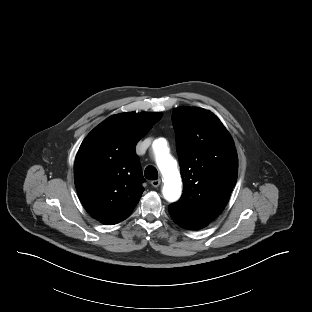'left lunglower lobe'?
Segmentation results:
<instances>
[{
	"label": "left lung lower lobe",
	"instance_id": "left-lung-lower-lobe-1",
	"mask_svg": "<svg viewBox=\"0 0 312 312\" xmlns=\"http://www.w3.org/2000/svg\"><path fill=\"white\" fill-rule=\"evenodd\" d=\"M169 214L176 224H178L179 226L186 228V229L196 230V229L204 228L205 226L208 225L205 222L197 221L195 219L187 217V216L177 212L176 210H174L171 207H169Z\"/></svg>",
	"mask_w": 312,
	"mask_h": 312
}]
</instances>
